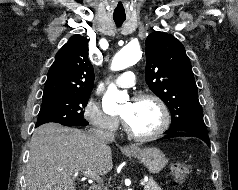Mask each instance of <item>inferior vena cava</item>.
I'll list each match as a JSON object with an SVG mask.
<instances>
[{
	"label": "inferior vena cava",
	"mask_w": 238,
	"mask_h": 190,
	"mask_svg": "<svg viewBox=\"0 0 238 190\" xmlns=\"http://www.w3.org/2000/svg\"><path fill=\"white\" fill-rule=\"evenodd\" d=\"M93 134L102 143H109V142L114 141V134L110 131L99 128V129L93 130Z\"/></svg>",
	"instance_id": "602c4592"
}]
</instances>
